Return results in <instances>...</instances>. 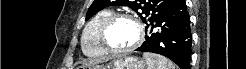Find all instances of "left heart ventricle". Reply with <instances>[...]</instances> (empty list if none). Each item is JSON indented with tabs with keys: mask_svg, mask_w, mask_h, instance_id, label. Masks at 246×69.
Listing matches in <instances>:
<instances>
[{
	"mask_svg": "<svg viewBox=\"0 0 246 69\" xmlns=\"http://www.w3.org/2000/svg\"><path fill=\"white\" fill-rule=\"evenodd\" d=\"M137 39L135 24L127 19L115 21L107 33V41L116 49H123L132 45Z\"/></svg>",
	"mask_w": 246,
	"mask_h": 69,
	"instance_id": "obj_1",
	"label": "left heart ventricle"
}]
</instances>
